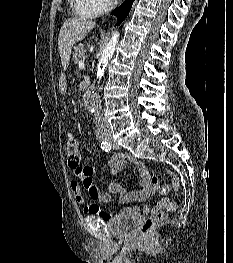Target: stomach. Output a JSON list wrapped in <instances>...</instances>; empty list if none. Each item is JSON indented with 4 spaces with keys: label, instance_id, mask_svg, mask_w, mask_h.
<instances>
[{
    "label": "stomach",
    "instance_id": "0dacf381",
    "mask_svg": "<svg viewBox=\"0 0 233 263\" xmlns=\"http://www.w3.org/2000/svg\"><path fill=\"white\" fill-rule=\"evenodd\" d=\"M56 82H59L60 91H68V88H71V83L65 80V77H56Z\"/></svg>",
    "mask_w": 233,
    "mask_h": 263
}]
</instances>
